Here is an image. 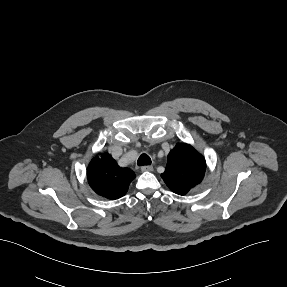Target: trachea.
<instances>
[{
    "label": "trachea",
    "mask_w": 287,
    "mask_h": 287,
    "mask_svg": "<svg viewBox=\"0 0 287 287\" xmlns=\"http://www.w3.org/2000/svg\"><path fill=\"white\" fill-rule=\"evenodd\" d=\"M139 166H146L151 164V158L147 154H142L137 161Z\"/></svg>",
    "instance_id": "3493384b"
}]
</instances>
